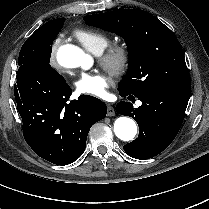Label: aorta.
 <instances>
[{
    "label": "aorta",
    "instance_id": "aorta-1",
    "mask_svg": "<svg viewBox=\"0 0 209 209\" xmlns=\"http://www.w3.org/2000/svg\"><path fill=\"white\" fill-rule=\"evenodd\" d=\"M57 61L65 68L81 67L83 69H89L93 62L82 49L71 44L63 45L58 49ZM114 132L120 140L130 141L137 133V125L133 119L122 116L115 120Z\"/></svg>",
    "mask_w": 209,
    "mask_h": 209
}]
</instances>
